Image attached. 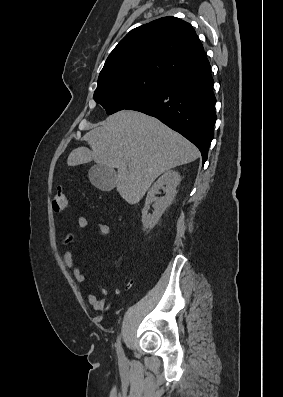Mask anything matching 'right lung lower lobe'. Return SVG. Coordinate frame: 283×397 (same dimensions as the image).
Returning <instances> with one entry per match:
<instances>
[{
	"label": "right lung lower lobe",
	"instance_id": "1",
	"mask_svg": "<svg viewBox=\"0 0 283 397\" xmlns=\"http://www.w3.org/2000/svg\"><path fill=\"white\" fill-rule=\"evenodd\" d=\"M210 64L175 76L126 109L158 118L201 151L203 163L214 137L216 122Z\"/></svg>",
	"mask_w": 283,
	"mask_h": 397
}]
</instances>
